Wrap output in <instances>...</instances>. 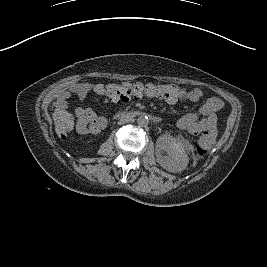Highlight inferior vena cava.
<instances>
[{
    "label": "inferior vena cava",
    "instance_id": "602c4592",
    "mask_svg": "<svg viewBox=\"0 0 267 267\" xmlns=\"http://www.w3.org/2000/svg\"><path fill=\"white\" fill-rule=\"evenodd\" d=\"M130 121H131V119H121V120L118 121V124H119V125H123V124H125V123L130 122Z\"/></svg>",
    "mask_w": 267,
    "mask_h": 267
}]
</instances>
